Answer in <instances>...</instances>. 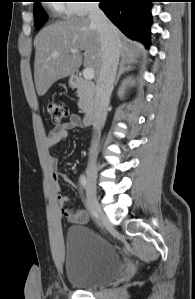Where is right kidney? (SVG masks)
Wrapping results in <instances>:
<instances>
[{"label":"right kidney","instance_id":"1","mask_svg":"<svg viewBox=\"0 0 195 299\" xmlns=\"http://www.w3.org/2000/svg\"><path fill=\"white\" fill-rule=\"evenodd\" d=\"M129 79H130V78L124 79V81H123L122 84H121V87L119 88L118 96H119L120 98L124 95V89H125L127 83L129 82Z\"/></svg>","mask_w":195,"mask_h":299}]
</instances>
